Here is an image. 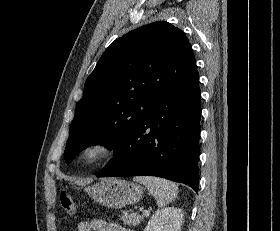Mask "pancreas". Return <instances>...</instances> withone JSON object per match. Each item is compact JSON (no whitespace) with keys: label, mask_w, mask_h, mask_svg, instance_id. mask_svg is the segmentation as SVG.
Wrapping results in <instances>:
<instances>
[{"label":"pancreas","mask_w":280,"mask_h":231,"mask_svg":"<svg viewBox=\"0 0 280 231\" xmlns=\"http://www.w3.org/2000/svg\"><path fill=\"white\" fill-rule=\"evenodd\" d=\"M124 223L126 225H138L142 219H144V215H139V213H128V211H123L122 217Z\"/></svg>","instance_id":"pancreas-1"}]
</instances>
